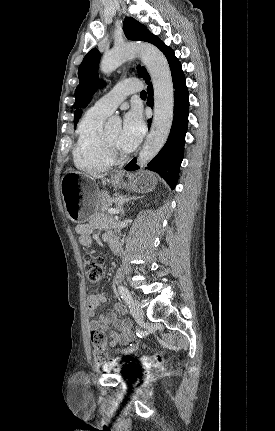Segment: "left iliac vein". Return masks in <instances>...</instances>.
Listing matches in <instances>:
<instances>
[{"instance_id":"left-iliac-vein-1","label":"left iliac vein","mask_w":275,"mask_h":431,"mask_svg":"<svg viewBox=\"0 0 275 431\" xmlns=\"http://www.w3.org/2000/svg\"><path fill=\"white\" fill-rule=\"evenodd\" d=\"M129 307L131 314L136 320L142 321L144 319V311L138 300H132Z\"/></svg>"}]
</instances>
